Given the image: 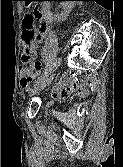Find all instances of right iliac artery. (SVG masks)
<instances>
[{
  "label": "right iliac artery",
  "instance_id": "82829eb1",
  "mask_svg": "<svg viewBox=\"0 0 123 167\" xmlns=\"http://www.w3.org/2000/svg\"><path fill=\"white\" fill-rule=\"evenodd\" d=\"M59 64H60V59H57V60L55 61V63L53 64V66H52L49 70L45 71L44 74H43L41 77L38 78V80L36 81V84H38V83L41 82L45 77H47L48 74H49L53 69H55Z\"/></svg>",
  "mask_w": 123,
  "mask_h": 167
}]
</instances>
